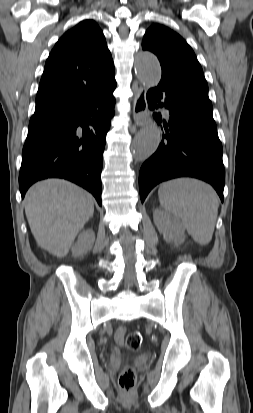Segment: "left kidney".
<instances>
[{
  "mask_svg": "<svg viewBox=\"0 0 253 413\" xmlns=\"http://www.w3.org/2000/svg\"><path fill=\"white\" fill-rule=\"evenodd\" d=\"M153 220L166 242H173L175 245L184 242L185 228L180 220L159 209L154 210Z\"/></svg>",
  "mask_w": 253,
  "mask_h": 413,
  "instance_id": "5707ae66",
  "label": "left kidney"
}]
</instances>
